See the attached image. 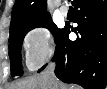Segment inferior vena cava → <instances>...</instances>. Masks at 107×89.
Returning <instances> with one entry per match:
<instances>
[{
	"instance_id": "1",
	"label": "inferior vena cava",
	"mask_w": 107,
	"mask_h": 89,
	"mask_svg": "<svg viewBox=\"0 0 107 89\" xmlns=\"http://www.w3.org/2000/svg\"><path fill=\"white\" fill-rule=\"evenodd\" d=\"M55 66H56L55 63H50L46 68V70L44 71V75L50 80L52 84H55V80H56L54 73ZM51 89H54V87H51Z\"/></svg>"
}]
</instances>
